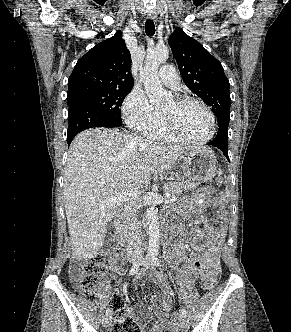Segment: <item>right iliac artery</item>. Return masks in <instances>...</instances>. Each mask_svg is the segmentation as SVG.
<instances>
[{
  "label": "right iliac artery",
  "mask_w": 291,
  "mask_h": 332,
  "mask_svg": "<svg viewBox=\"0 0 291 332\" xmlns=\"http://www.w3.org/2000/svg\"><path fill=\"white\" fill-rule=\"evenodd\" d=\"M139 266H140V263L138 262V263H135L133 266H132V268H131V270H130V275H134V274H136L137 272H138V270H139ZM111 313V309L110 308H108L107 310H106V315H109Z\"/></svg>",
  "instance_id": "obj_1"
}]
</instances>
